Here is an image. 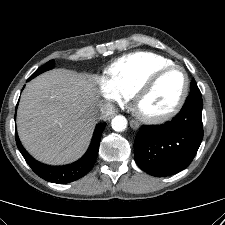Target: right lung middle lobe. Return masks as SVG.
<instances>
[{
    "label": "right lung middle lobe",
    "instance_id": "obj_1",
    "mask_svg": "<svg viewBox=\"0 0 225 225\" xmlns=\"http://www.w3.org/2000/svg\"><path fill=\"white\" fill-rule=\"evenodd\" d=\"M54 64V60H50L49 62H47L45 65H43L42 67H40L39 69H37L30 77L29 79H32L34 77H36L37 75L52 69Z\"/></svg>",
    "mask_w": 225,
    "mask_h": 225
}]
</instances>
